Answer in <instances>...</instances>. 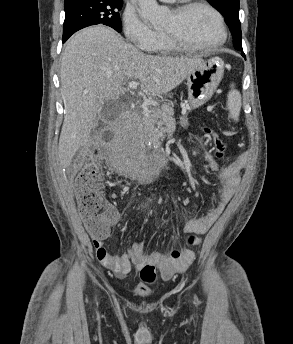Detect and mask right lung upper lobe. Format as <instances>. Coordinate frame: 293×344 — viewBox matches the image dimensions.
I'll return each instance as SVG.
<instances>
[{"instance_id":"obj_1","label":"right lung upper lobe","mask_w":293,"mask_h":344,"mask_svg":"<svg viewBox=\"0 0 293 344\" xmlns=\"http://www.w3.org/2000/svg\"><path fill=\"white\" fill-rule=\"evenodd\" d=\"M76 1H78V0H65L64 4H67V3H70V2H76Z\"/></svg>"}]
</instances>
